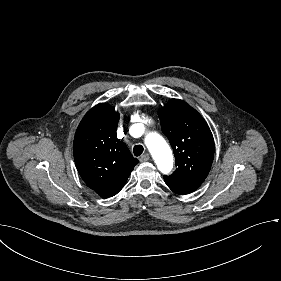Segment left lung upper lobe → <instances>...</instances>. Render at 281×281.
<instances>
[{
  "mask_svg": "<svg viewBox=\"0 0 281 281\" xmlns=\"http://www.w3.org/2000/svg\"><path fill=\"white\" fill-rule=\"evenodd\" d=\"M159 118L177 166L172 175L164 176L165 183L177 194L191 193L210 171L214 156L212 133L202 116L179 99L170 100L160 109Z\"/></svg>",
  "mask_w": 281,
  "mask_h": 281,
  "instance_id": "obj_1",
  "label": "left lung upper lobe"
}]
</instances>
